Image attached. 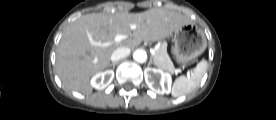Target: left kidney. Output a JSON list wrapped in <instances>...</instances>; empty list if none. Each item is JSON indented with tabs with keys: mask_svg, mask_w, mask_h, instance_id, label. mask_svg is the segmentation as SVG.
Returning <instances> with one entry per match:
<instances>
[{
	"mask_svg": "<svg viewBox=\"0 0 276 120\" xmlns=\"http://www.w3.org/2000/svg\"><path fill=\"white\" fill-rule=\"evenodd\" d=\"M144 78L148 87L158 94L169 92L172 78L169 73L161 69L147 67L144 70Z\"/></svg>",
	"mask_w": 276,
	"mask_h": 120,
	"instance_id": "obj_1",
	"label": "left kidney"
}]
</instances>
